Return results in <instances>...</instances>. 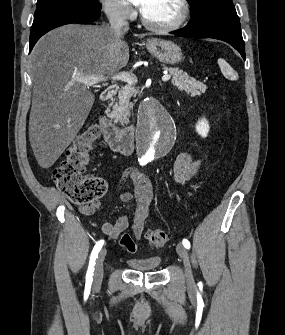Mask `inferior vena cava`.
<instances>
[{"mask_svg":"<svg viewBox=\"0 0 285 335\" xmlns=\"http://www.w3.org/2000/svg\"><path fill=\"white\" fill-rule=\"evenodd\" d=\"M121 2L122 0H116V2H112V6H110V28H112L118 36H123V34L129 30L127 4H121Z\"/></svg>","mask_w":285,"mask_h":335,"instance_id":"1","label":"inferior vena cava"}]
</instances>
